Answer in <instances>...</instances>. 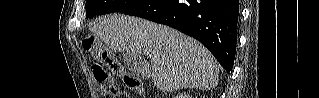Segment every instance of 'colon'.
<instances>
[{"instance_id":"5ec220e1","label":"colon","mask_w":319,"mask_h":98,"mask_svg":"<svg viewBox=\"0 0 319 98\" xmlns=\"http://www.w3.org/2000/svg\"><path fill=\"white\" fill-rule=\"evenodd\" d=\"M83 46L86 50L92 51L94 56L111 70V73H109L99 64H93L90 68L95 84L103 96L112 98L130 97L128 94L118 90L116 78H120L126 88L130 91L136 92L140 96L144 95L145 88L143 87L141 80L137 76L126 71L121 64L116 62L110 52L99 45L93 36L86 37L83 40Z\"/></svg>"}]
</instances>
